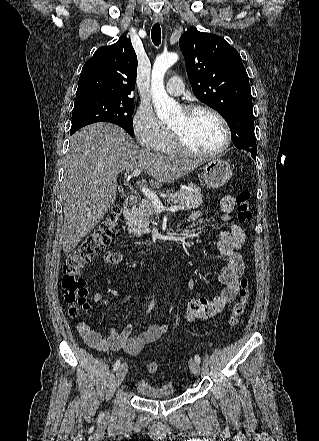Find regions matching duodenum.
<instances>
[{
	"label": "duodenum",
	"mask_w": 319,
	"mask_h": 441,
	"mask_svg": "<svg viewBox=\"0 0 319 441\" xmlns=\"http://www.w3.org/2000/svg\"><path fill=\"white\" fill-rule=\"evenodd\" d=\"M138 205V198L135 195H130L126 198L123 205V216L127 217ZM171 239V234L163 236L156 244H162ZM154 247L153 242H147L145 246L138 250L139 254H146L150 252Z\"/></svg>",
	"instance_id": "obj_1"
}]
</instances>
